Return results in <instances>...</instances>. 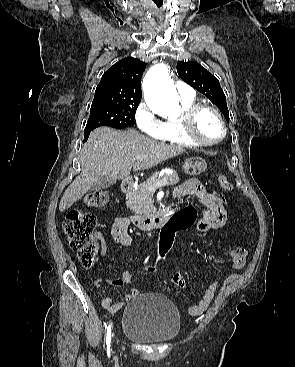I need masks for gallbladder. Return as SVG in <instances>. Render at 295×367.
<instances>
[{
	"label": "gallbladder",
	"mask_w": 295,
	"mask_h": 367,
	"mask_svg": "<svg viewBox=\"0 0 295 367\" xmlns=\"http://www.w3.org/2000/svg\"><path fill=\"white\" fill-rule=\"evenodd\" d=\"M115 183V180L111 179V178H105L100 180L99 182H97L92 189L93 190H101L103 188H107L109 186H111L112 184Z\"/></svg>",
	"instance_id": "gallbladder-1"
}]
</instances>
